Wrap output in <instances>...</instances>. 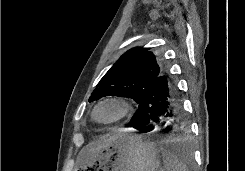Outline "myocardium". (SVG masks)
Instances as JSON below:
<instances>
[{"label":"myocardium","instance_id":"obj_1","mask_svg":"<svg viewBox=\"0 0 245 171\" xmlns=\"http://www.w3.org/2000/svg\"><path fill=\"white\" fill-rule=\"evenodd\" d=\"M106 104L116 105L119 107L120 111H119V114L115 118L108 120V121H102L97 117V112L101 106L106 105ZM131 111H132V104L129 100L123 97L113 96V97L105 98L97 103L93 111V118L101 124L110 125V124H114V123L120 122L121 120L125 119L131 113Z\"/></svg>","mask_w":245,"mask_h":171}]
</instances>
